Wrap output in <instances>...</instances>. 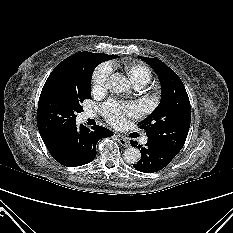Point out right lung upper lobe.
<instances>
[{
  "mask_svg": "<svg viewBox=\"0 0 233 233\" xmlns=\"http://www.w3.org/2000/svg\"><path fill=\"white\" fill-rule=\"evenodd\" d=\"M80 56H81V52L71 55L70 57H68L65 60H63L62 62H60L54 68L53 71L54 72H65V73L71 72L73 69H75L77 67L79 60H80ZM107 56L114 59L115 55H107ZM68 132H69V130H67L66 132H63L61 134H58V135L42 137V139H43L44 143H50L52 141H55V140L63 137Z\"/></svg>",
  "mask_w": 233,
  "mask_h": 233,
  "instance_id": "right-lung-upper-lobe-1",
  "label": "right lung upper lobe"
}]
</instances>
